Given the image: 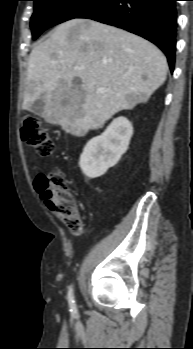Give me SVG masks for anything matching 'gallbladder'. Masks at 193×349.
Returning <instances> with one entry per match:
<instances>
[{"mask_svg":"<svg viewBox=\"0 0 193 349\" xmlns=\"http://www.w3.org/2000/svg\"><path fill=\"white\" fill-rule=\"evenodd\" d=\"M45 102L43 99H38L29 107V111L35 115L41 116L44 112Z\"/></svg>","mask_w":193,"mask_h":349,"instance_id":"obj_1","label":"gallbladder"}]
</instances>
